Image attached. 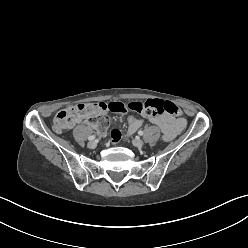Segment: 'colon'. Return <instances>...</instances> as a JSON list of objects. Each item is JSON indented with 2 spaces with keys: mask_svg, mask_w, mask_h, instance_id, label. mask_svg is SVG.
Returning <instances> with one entry per match:
<instances>
[{
  "mask_svg": "<svg viewBox=\"0 0 248 248\" xmlns=\"http://www.w3.org/2000/svg\"><path fill=\"white\" fill-rule=\"evenodd\" d=\"M125 112L127 110L139 113L145 117L160 116L162 114H170L180 116L182 114L180 108L172 102L163 100H146L132 101L127 104L116 102L107 106L104 102L92 104H80L60 110L54 117L53 126L57 132H62L73 125L75 122L83 120L92 122L99 136H105L111 127L110 120L106 115L107 111ZM135 116L129 114L125 118V123L131 125L135 130L140 125L134 120Z\"/></svg>",
  "mask_w": 248,
  "mask_h": 248,
  "instance_id": "5ec220e1",
  "label": "colon"
}]
</instances>
